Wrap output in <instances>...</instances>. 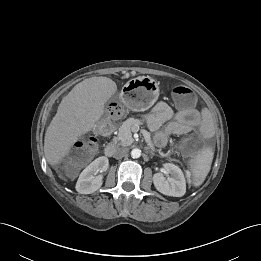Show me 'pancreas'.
<instances>
[{
  "instance_id": "pancreas-1",
  "label": "pancreas",
  "mask_w": 261,
  "mask_h": 261,
  "mask_svg": "<svg viewBox=\"0 0 261 261\" xmlns=\"http://www.w3.org/2000/svg\"><path fill=\"white\" fill-rule=\"evenodd\" d=\"M143 122L139 119L128 118L119 127L118 135L113 138L114 144L129 146L133 143L132 132H136Z\"/></svg>"
}]
</instances>
